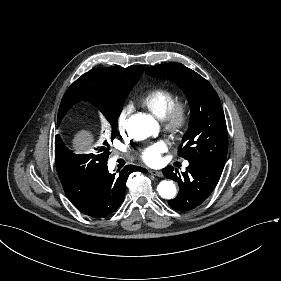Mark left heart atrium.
Returning <instances> with one entry per match:
<instances>
[{"label": "left heart atrium", "mask_w": 281, "mask_h": 281, "mask_svg": "<svg viewBox=\"0 0 281 281\" xmlns=\"http://www.w3.org/2000/svg\"><path fill=\"white\" fill-rule=\"evenodd\" d=\"M165 149L166 144L163 141H158L141 148L137 152V156L144 163L154 166L158 165L161 162V154Z\"/></svg>", "instance_id": "1"}]
</instances>
